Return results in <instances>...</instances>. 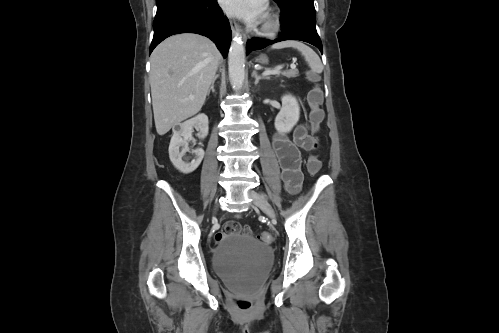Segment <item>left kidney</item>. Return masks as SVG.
<instances>
[{
	"mask_svg": "<svg viewBox=\"0 0 499 333\" xmlns=\"http://www.w3.org/2000/svg\"><path fill=\"white\" fill-rule=\"evenodd\" d=\"M282 108L275 118V128L280 133H289L300 117V107L297 99L291 94L281 98Z\"/></svg>",
	"mask_w": 499,
	"mask_h": 333,
	"instance_id": "5707ae66",
	"label": "left kidney"
}]
</instances>
